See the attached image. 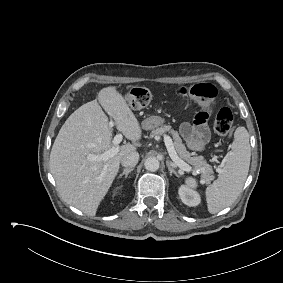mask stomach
<instances>
[{"instance_id":"stomach-1","label":"stomach","mask_w":283,"mask_h":283,"mask_svg":"<svg viewBox=\"0 0 283 283\" xmlns=\"http://www.w3.org/2000/svg\"><path fill=\"white\" fill-rule=\"evenodd\" d=\"M165 123V119L161 116H150L142 122V128L145 130L157 129Z\"/></svg>"}]
</instances>
